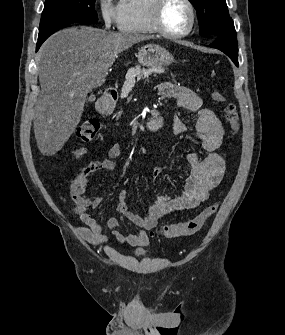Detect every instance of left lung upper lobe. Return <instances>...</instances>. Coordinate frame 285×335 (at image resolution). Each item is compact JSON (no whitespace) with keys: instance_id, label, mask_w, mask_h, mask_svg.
<instances>
[{"instance_id":"1","label":"left lung upper lobe","mask_w":285,"mask_h":335,"mask_svg":"<svg viewBox=\"0 0 285 335\" xmlns=\"http://www.w3.org/2000/svg\"><path fill=\"white\" fill-rule=\"evenodd\" d=\"M190 2L197 10L200 35H209L212 38L236 35L226 0H190Z\"/></svg>"}]
</instances>
